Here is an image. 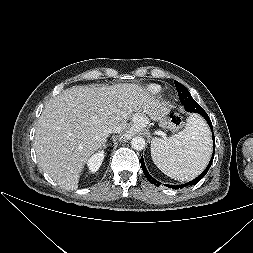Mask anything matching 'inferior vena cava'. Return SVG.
Masks as SVG:
<instances>
[{
    "label": "inferior vena cava",
    "instance_id": "obj_1",
    "mask_svg": "<svg viewBox=\"0 0 253 253\" xmlns=\"http://www.w3.org/2000/svg\"><path fill=\"white\" fill-rule=\"evenodd\" d=\"M120 131V129L119 128H108L107 130H106V133L107 134H110V133H115V132H119Z\"/></svg>",
    "mask_w": 253,
    "mask_h": 253
}]
</instances>
